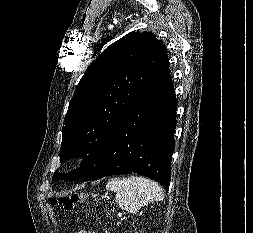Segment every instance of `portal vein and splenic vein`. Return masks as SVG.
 I'll return each mask as SVG.
<instances>
[{"instance_id":"1","label":"portal vein and splenic vein","mask_w":253,"mask_h":233,"mask_svg":"<svg viewBox=\"0 0 253 233\" xmlns=\"http://www.w3.org/2000/svg\"><path fill=\"white\" fill-rule=\"evenodd\" d=\"M118 216H119V217H122V213H119Z\"/></svg>"}]
</instances>
